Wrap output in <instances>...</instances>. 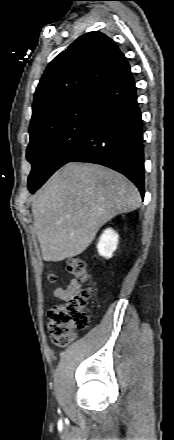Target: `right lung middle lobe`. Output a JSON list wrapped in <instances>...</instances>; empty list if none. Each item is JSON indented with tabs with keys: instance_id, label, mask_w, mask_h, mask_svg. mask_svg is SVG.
<instances>
[{
	"instance_id": "obj_1",
	"label": "right lung middle lobe",
	"mask_w": 174,
	"mask_h": 440,
	"mask_svg": "<svg viewBox=\"0 0 174 440\" xmlns=\"http://www.w3.org/2000/svg\"><path fill=\"white\" fill-rule=\"evenodd\" d=\"M95 102V94L82 96L30 125L26 155L32 165L28 177L30 191L43 184L76 151L89 126Z\"/></svg>"
}]
</instances>
